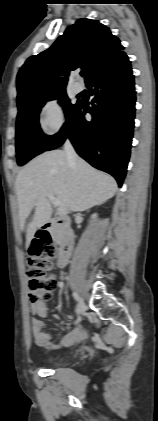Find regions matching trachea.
<instances>
[{"label": "trachea", "mask_w": 158, "mask_h": 421, "mask_svg": "<svg viewBox=\"0 0 158 421\" xmlns=\"http://www.w3.org/2000/svg\"><path fill=\"white\" fill-rule=\"evenodd\" d=\"M81 75L83 76V75H84V73L82 72V73H81Z\"/></svg>", "instance_id": "trachea-1"}]
</instances>
